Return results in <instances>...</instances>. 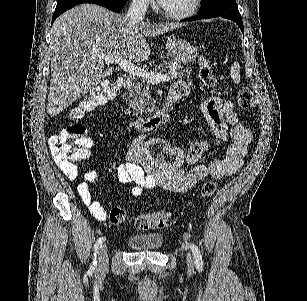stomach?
<instances>
[{
  "label": "stomach",
  "mask_w": 307,
  "mask_h": 301,
  "mask_svg": "<svg viewBox=\"0 0 307 301\" xmlns=\"http://www.w3.org/2000/svg\"><path fill=\"white\" fill-rule=\"evenodd\" d=\"M166 48L175 64H187L198 56L196 46H193L191 42L184 40V38H177V36H168Z\"/></svg>",
  "instance_id": "stomach-1"
}]
</instances>
